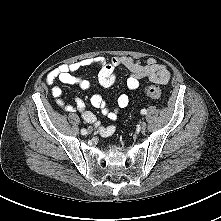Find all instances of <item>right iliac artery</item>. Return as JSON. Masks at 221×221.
<instances>
[{
	"mask_svg": "<svg viewBox=\"0 0 221 221\" xmlns=\"http://www.w3.org/2000/svg\"><path fill=\"white\" fill-rule=\"evenodd\" d=\"M81 134H82V135L87 134V130H86V129H82V130H81Z\"/></svg>",
	"mask_w": 221,
	"mask_h": 221,
	"instance_id": "1",
	"label": "right iliac artery"
}]
</instances>
